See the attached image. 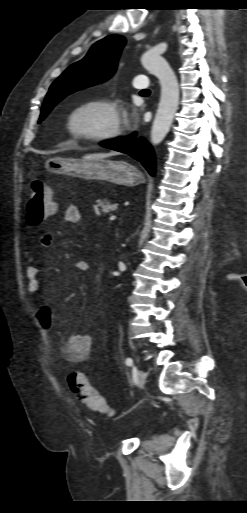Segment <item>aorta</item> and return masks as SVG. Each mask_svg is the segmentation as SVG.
Segmentation results:
<instances>
[{
	"mask_svg": "<svg viewBox=\"0 0 247 513\" xmlns=\"http://www.w3.org/2000/svg\"><path fill=\"white\" fill-rule=\"evenodd\" d=\"M141 63L158 78L161 86L160 101L151 129V143L157 145L169 132L178 109L179 86L172 68L159 54L148 51L143 54Z\"/></svg>",
	"mask_w": 247,
	"mask_h": 513,
	"instance_id": "1",
	"label": "aorta"
}]
</instances>
